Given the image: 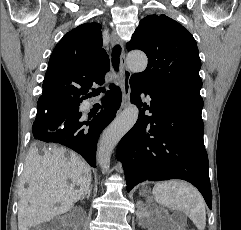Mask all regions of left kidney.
Here are the masks:
<instances>
[{
	"label": "left kidney",
	"mask_w": 241,
	"mask_h": 230,
	"mask_svg": "<svg viewBox=\"0 0 241 230\" xmlns=\"http://www.w3.org/2000/svg\"><path fill=\"white\" fill-rule=\"evenodd\" d=\"M153 215H158L157 212L148 213V221H146V226L149 227L148 230H174L172 225L169 224H161L153 218ZM182 230V229H181Z\"/></svg>",
	"instance_id": "5707ae66"
}]
</instances>
